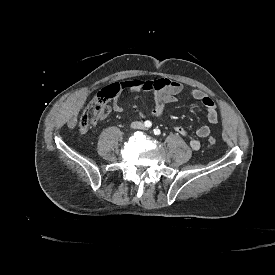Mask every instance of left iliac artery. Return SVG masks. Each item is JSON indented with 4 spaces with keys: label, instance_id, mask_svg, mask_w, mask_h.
Returning <instances> with one entry per match:
<instances>
[{
    "label": "left iliac artery",
    "instance_id": "left-iliac-artery-1",
    "mask_svg": "<svg viewBox=\"0 0 275 275\" xmlns=\"http://www.w3.org/2000/svg\"><path fill=\"white\" fill-rule=\"evenodd\" d=\"M153 132H154L155 135H160V134H161V131H160V129H158V128H155V129L153 130Z\"/></svg>",
    "mask_w": 275,
    "mask_h": 275
}]
</instances>
